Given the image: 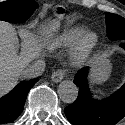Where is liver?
Instances as JSON below:
<instances>
[{"label":"liver","mask_w":125,"mask_h":125,"mask_svg":"<svg viewBox=\"0 0 125 125\" xmlns=\"http://www.w3.org/2000/svg\"><path fill=\"white\" fill-rule=\"evenodd\" d=\"M59 21L52 20L46 27V33L56 30ZM21 51L17 47V32L15 28L4 21H0V96L10 91L18 82L23 70L40 56V45L36 38L26 29L18 31Z\"/></svg>","instance_id":"1"}]
</instances>
